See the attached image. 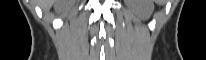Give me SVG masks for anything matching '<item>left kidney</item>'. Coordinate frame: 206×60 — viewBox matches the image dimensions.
Listing matches in <instances>:
<instances>
[{
  "label": "left kidney",
  "mask_w": 206,
  "mask_h": 60,
  "mask_svg": "<svg viewBox=\"0 0 206 60\" xmlns=\"http://www.w3.org/2000/svg\"><path fill=\"white\" fill-rule=\"evenodd\" d=\"M127 2L141 19H147L152 14V0H128Z\"/></svg>",
  "instance_id": "obj_1"
}]
</instances>
